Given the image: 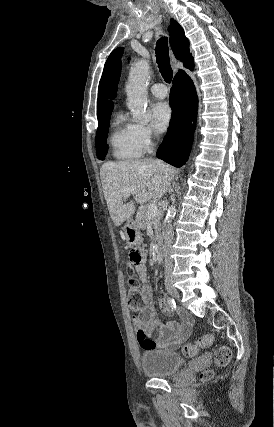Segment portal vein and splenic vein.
Listing matches in <instances>:
<instances>
[{
    "mask_svg": "<svg viewBox=\"0 0 274 427\" xmlns=\"http://www.w3.org/2000/svg\"><path fill=\"white\" fill-rule=\"evenodd\" d=\"M131 194H136L135 188H132V190H125L124 198H129V196H131ZM158 214H159V210H158L156 204H150V206H148L147 212H146L147 217H155V215H158Z\"/></svg>",
    "mask_w": 274,
    "mask_h": 427,
    "instance_id": "1",
    "label": "portal vein and splenic vein"
}]
</instances>
